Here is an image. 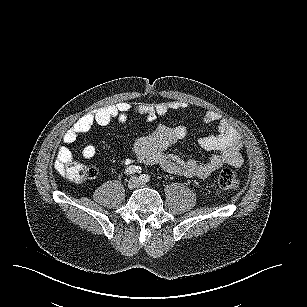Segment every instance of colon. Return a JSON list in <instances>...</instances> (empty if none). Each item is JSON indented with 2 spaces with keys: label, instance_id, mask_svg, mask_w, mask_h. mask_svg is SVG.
I'll return each instance as SVG.
<instances>
[{
  "label": "colon",
  "instance_id": "obj_1",
  "mask_svg": "<svg viewBox=\"0 0 307 307\" xmlns=\"http://www.w3.org/2000/svg\"><path fill=\"white\" fill-rule=\"evenodd\" d=\"M57 170L62 176L74 182L95 178L98 173L94 166L86 165L76 160L58 163ZM217 184L222 190L234 191L239 188L240 182L231 169L223 168L218 173Z\"/></svg>",
  "mask_w": 307,
  "mask_h": 307
}]
</instances>
